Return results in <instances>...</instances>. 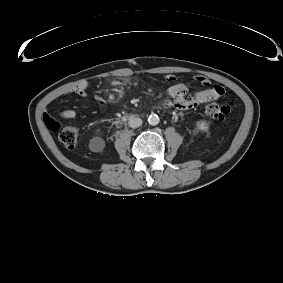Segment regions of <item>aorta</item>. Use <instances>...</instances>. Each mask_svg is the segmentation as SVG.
<instances>
[{
    "instance_id": "762f6f07",
    "label": "aorta",
    "mask_w": 283,
    "mask_h": 283,
    "mask_svg": "<svg viewBox=\"0 0 283 283\" xmlns=\"http://www.w3.org/2000/svg\"><path fill=\"white\" fill-rule=\"evenodd\" d=\"M148 122H149L150 125L155 126V125L159 124L160 119H159L158 115H156V114H151V115L148 117Z\"/></svg>"
}]
</instances>
